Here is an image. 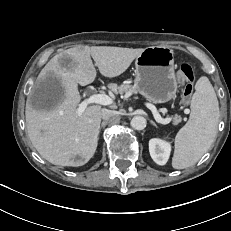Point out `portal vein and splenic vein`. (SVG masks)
I'll list each match as a JSON object with an SVG mask.
<instances>
[{
	"label": "portal vein and splenic vein",
	"mask_w": 231,
	"mask_h": 231,
	"mask_svg": "<svg viewBox=\"0 0 231 231\" xmlns=\"http://www.w3.org/2000/svg\"><path fill=\"white\" fill-rule=\"evenodd\" d=\"M112 99L105 94H93L91 96H89L88 98H86L85 100H83L78 108H77V115H81L85 109L87 108L88 105L90 104H101V105H110L112 104ZM147 107L152 111L153 116L155 118V120L160 123V124H168L170 123V121L172 120V118H165L163 119L160 114L158 113L157 109L155 108L154 105L152 104H147Z\"/></svg>",
	"instance_id": "1"
}]
</instances>
